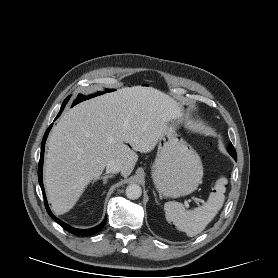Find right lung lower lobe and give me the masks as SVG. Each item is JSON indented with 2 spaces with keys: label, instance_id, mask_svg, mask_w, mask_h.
<instances>
[{
  "label": "right lung lower lobe",
  "instance_id": "obj_1",
  "mask_svg": "<svg viewBox=\"0 0 278 278\" xmlns=\"http://www.w3.org/2000/svg\"><path fill=\"white\" fill-rule=\"evenodd\" d=\"M66 103L63 102L62 106H61V109H60V112L58 113L57 117H59V115L61 114V112L63 111L64 107H65ZM56 117V118H57ZM51 126L47 129L44 137H43V141H42V144H41V155H40V161H39V168H38V180H39V184L41 186V189H42V193H43V197H44V201H45V207L47 209V212L48 214L58 223L60 224L64 229H66L67 231H69L70 233H73V234H76V235H82V236H90V235H93L95 233H97L106 223V218L104 219V221L96 226V227H93V228H90V229H76V228H73L71 226H69L68 224L62 222L61 220H59L58 218H56L50 211L49 207H48V204H47V200H46V196H45V191H44V187H43V182H42V166H43V156H44V146H45V141H46V138H47V135L51 129Z\"/></svg>",
  "mask_w": 278,
  "mask_h": 278
}]
</instances>
